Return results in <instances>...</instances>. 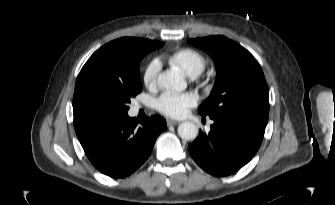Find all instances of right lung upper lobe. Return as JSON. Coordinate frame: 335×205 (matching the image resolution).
<instances>
[{"instance_id": "1", "label": "right lung upper lobe", "mask_w": 335, "mask_h": 205, "mask_svg": "<svg viewBox=\"0 0 335 205\" xmlns=\"http://www.w3.org/2000/svg\"><path fill=\"white\" fill-rule=\"evenodd\" d=\"M161 42L141 38H120L96 51L80 71L75 92L86 83L101 78H117L130 66V55L133 49L146 45H159Z\"/></svg>"}]
</instances>
